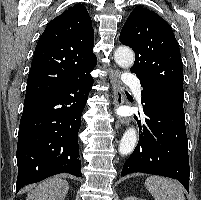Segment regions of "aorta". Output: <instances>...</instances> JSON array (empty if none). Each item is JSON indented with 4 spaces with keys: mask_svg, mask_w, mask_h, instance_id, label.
Segmentation results:
<instances>
[{
    "mask_svg": "<svg viewBox=\"0 0 201 200\" xmlns=\"http://www.w3.org/2000/svg\"><path fill=\"white\" fill-rule=\"evenodd\" d=\"M115 62L122 68H129L134 63V53L130 48L119 47L114 53ZM137 141L136 129L133 127L128 128L120 141L119 153L121 155L130 154L135 147Z\"/></svg>",
    "mask_w": 201,
    "mask_h": 200,
    "instance_id": "762f6f07",
    "label": "aorta"
}]
</instances>
